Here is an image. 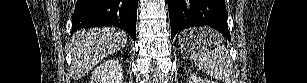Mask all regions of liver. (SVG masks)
<instances>
[{
  "mask_svg": "<svg viewBox=\"0 0 307 83\" xmlns=\"http://www.w3.org/2000/svg\"><path fill=\"white\" fill-rule=\"evenodd\" d=\"M127 35L117 28H91L76 32L71 39L74 80L82 78L106 56L125 46Z\"/></svg>",
  "mask_w": 307,
  "mask_h": 83,
  "instance_id": "obj_1",
  "label": "liver"
}]
</instances>
